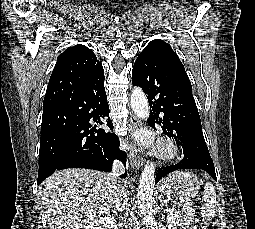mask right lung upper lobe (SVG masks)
<instances>
[{"instance_id": "1", "label": "right lung upper lobe", "mask_w": 255, "mask_h": 229, "mask_svg": "<svg viewBox=\"0 0 255 229\" xmlns=\"http://www.w3.org/2000/svg\"><path fill=\"white\" fill-rule=\"evenodd\" d=\"M102 65L96 55L84 45L67 48L58 56L51 74L43 107L70 98L79 84Z\"/></svg>"}]
</instances>
